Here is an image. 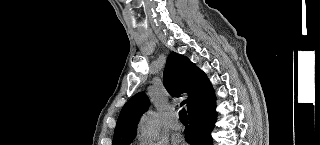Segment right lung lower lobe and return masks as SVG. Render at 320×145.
<instances>
[{
    "label": "right lung lower lobe",
    "mask_w": 320,
    "mask_h": 145,
    "mask_svg": "<svg viewBox=\"0 0 320 145\" xmlns=\"http://www.w3.org/2000/svg\"><path fill=\"white\" fill-rule=\"evenodd\" d=\"M215 95L212 85L203 101L188 112L190 126L185 129L186 142L190 145H212L210 133L216 122Z\"/></svg>",
    "instance_id": "1"
}]
</instances>
